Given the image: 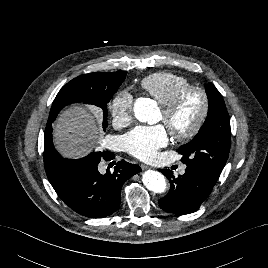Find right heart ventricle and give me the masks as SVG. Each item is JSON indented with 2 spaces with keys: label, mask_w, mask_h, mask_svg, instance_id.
Masks as SVG:
<instances>
[{
  "label": "right heart ventricle",
  "mask_w": 268,
  "mask_h": 268,
  "mask_svg": "<svg viewBox=\"0 0 268 268\" xmlns=\"http://www.w3.org/2000/svg\"><path fill=\"white\" fill-rule=\"evenodd\" d=\"M188 85L189 81L186 78L168 71L150 74L140 83L141 88L161 106L166 104L178 90Z\"/></svg>",
  "instance_id": "right-heart-ventricle-1"
}]
</instances>
